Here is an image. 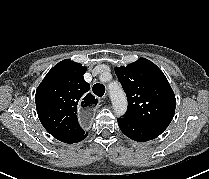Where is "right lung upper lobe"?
Returning <instances> with one entry per match:
<instances>
[{
  "label": "right lung upper lobe",
  "instance_id": "right-lung-upper-lobe-1",
  "mask_svg": "<svg viewBox=\"0 0 209 179\" xmlns=\"http://www.w3.org/2000/svg\"><path fill=\"white\" fill-rule=\"evenodd\" d=\"M85 72L81 64L63 60L47 73L36 90V109L42 125L64 143L84 139L87 133L78 122L77 109H89L98 102L88 92L90 85L83 78Z\"/></svg>",
  "mask_w": 209,
  "mask_h": 179
}]
</instances>
